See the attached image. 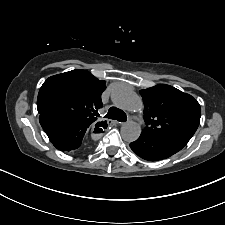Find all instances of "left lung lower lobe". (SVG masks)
<instances>
[{"label": "left lung lower lobe", "instance_id": "0a47b994", "mask_svg": "<svg viewBox=\"0 0 225 225\" xmlns=\"http://www.w3.org/2000/svg\"><path fill=\"white\" fill-rule=\"evenodd\" d=\"M188 141L184 138L152 137L142 132L137 140L130 143V148L145 160L159 161L180 151Z\"/></svg>", "mask_w": 225, "mask_h": 225}]
</instances>
